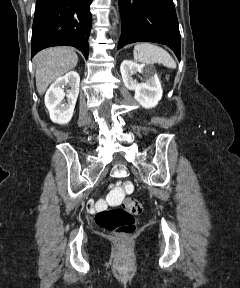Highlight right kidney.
Listing matches in <instances>:
<instances>
[{"label": "right kidney", "mask_w": 240, "mask_h": 288, "mask_svg": "<svg viewBox=\"0 0 240 288\" xmlns=\"http://www.w3.org/2000/svg\"><path fill=\"white\" fill-rule=\"evenodd\" d=\"M66 85H69L71 89L65 95L63 88ZM79 85V74L75 71H70L66 75L57 78L47 90L45 106L53 122L66 124L71 120L79 94ZM65 96L66 102L64 99Z\"/></svg>", "instance_id": "obj_1"}]
</instances>
